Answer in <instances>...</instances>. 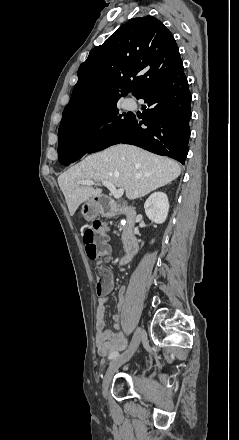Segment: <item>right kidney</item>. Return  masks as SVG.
<instances>
[{
    "mask_svg": "<svg viewBox=\"0 0 239 440\" xmlns=\"http://www.w3.org/2000/svg\"><path fill=\"white\" fill-rule=\"evenodd\" d=\"M144 210L149 220H152L155 224H163L169 212V202L166 194H163V192L151 194L144 204Z\"/></svg>",
    "mask_w": 239,
    "mask_h": 440,
    "instance_id": "obj_1",
    "label": "right kidney"
}]
</instances>
